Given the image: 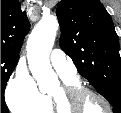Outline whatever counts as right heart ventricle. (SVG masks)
I'll list each match as a JSON object with an SVG mask.
<instances>
[{
    "mask_svg": "<svg viewBox=\"0 0 121 113\" xmlns=\"http://www.w3.org/2000/svg\"><path fill=\"white\" fill-rule=\"evenodd\" d=\"M62 80L66 85L78 84L77 78H62ZM35 113H56L48 95L42 94L41 102L35 110Z\"/></svg>",
    "mask_w": 121,
    "mask_h": 113,
    "instance_id": "right-heart-ventricle-1",
    "label": "right heart ventricle"
}]
</instances>
